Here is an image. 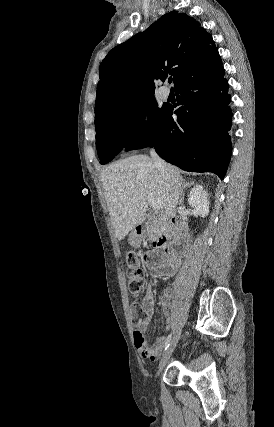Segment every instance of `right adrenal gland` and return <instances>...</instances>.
Returning <instances> with one entry per match:
<instances>
[{"instance_id":"1","label":"right adrenal gland","mask_w":274,"mask_h":427,"mask_svg":"<svg viewBox=\"0 0 274 427\" xmlns=\"http://www.w3.org/2000/svg\"><path fill=\"white\" fill-rule=\"evenodd\" d=\"M183 184H185L183 190H187V188H191V186H194V182H183ZM184 200V196H183V192H181V196H180V202H183Z\"/></svg>"}]
</instances>
